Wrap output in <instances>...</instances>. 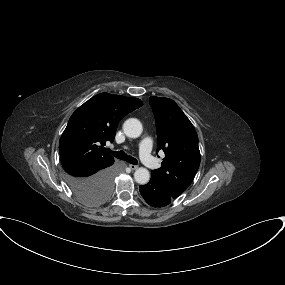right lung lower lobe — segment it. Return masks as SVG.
Returning <instances> with one entry per match:
<instances>
[{
    "mask_svg": "<svg viewBox=\"0 0 285 285\" xmlns=\"http://www.w3.org/2000/svg\"><path fill=\"white\" fill-rule=\"evenodd\" d=\"M113 163L94 166L84 163L65 170L67 182L72 189L79 190L85 187L105 186L112 187L115 176Z\"/></svg>",
    "mask_w": 285,
    "mask_h": 285,
    "instance_id": "98d812e1",
    "label": "right lung lower lobe"
}]
</instances>
